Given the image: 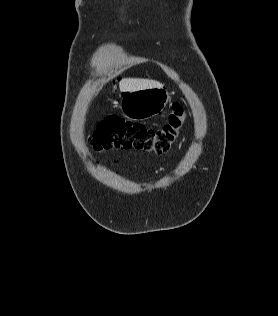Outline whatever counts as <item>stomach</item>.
Returning a JSON list of instances; mask_svg holds the SVG:
<instances>
[{"instance_id": "obj_1", "label": "stomach", "mask_w": 278, "mask_h": 316, "mask_svg": "<svg viewBox=\"0 0 278 316\" xmlns=\"http://www.w3.org/2000/svg\"><path fill=\"white\" fill-rule=\"evenodd\" d=\"M169 100V93L163 88H147L121 95L120 109L131 120H145L163 111Z\"/></svg>"}]
</instances>
